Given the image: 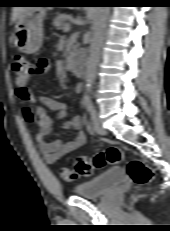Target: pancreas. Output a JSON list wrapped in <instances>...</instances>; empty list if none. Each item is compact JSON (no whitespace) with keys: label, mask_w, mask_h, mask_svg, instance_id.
Masks as SVG:
<instances>
[{"label":"pancreas","mask_w":170,"mask_h":231,"mask_svg":"<svg viewBox=\"0 0 170 231\" xmlns=\"http://www.w3.org/2000/svg\"><path fill=\"white\" fill-rule=\"evenodd\" d=\"M68 20H69V16L66 15V14H58L53 22H52V25L58 29V30H61L65 27L66 24H68Z\"/></svg>","instance_id":"cf45deb5"}]
</instances>
